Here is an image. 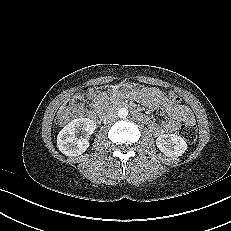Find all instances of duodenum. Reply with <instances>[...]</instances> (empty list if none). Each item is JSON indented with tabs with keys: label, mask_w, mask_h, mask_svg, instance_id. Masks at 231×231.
<instances>
[{
	"label": "duodenum",
	"mask_w": 231,
	"mask_h": 231,
	"mask_svg": "<svg viewBox=\"0 0 231 231\" xmlns=\"http://www.w3.org/2000/svg\"><path fill=\"white\" fill-rule=\"evenodd\" d=\"M124 107H129V104L124 103L122 101L116 102L113 106H104V107H96L95 110H97V113H91V118L95 121V122H102L106 116L112 112V110L114 109H120V108H124ZM93 110V111H95ZM136 117L139 119H142V115L136 113Z\"/></svg>",
	"instance_id": "obj_1"
}]
</instances>
